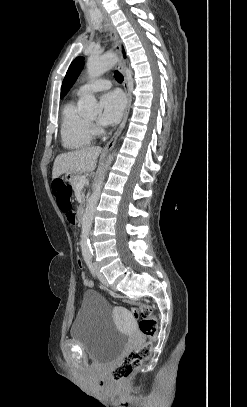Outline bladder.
Wrapping results in <instances>:
<instances>
[{"label": "bladder", "instance_id": "31cf9c89", "mask_svg": "<svg viewBox=\"0 0 247 407\" xmlns=\"http://www.w3.org/2000/svg\"><path fill=\"white\" fill-rule=\"evenodd\" d=\"M112 312L113 307L98 292H84L70 335L94 361L114 359L128 341L127 334L115 325Z\"/></svg>", "mask_w": 247, "mask_h": 407}]
</instances>
